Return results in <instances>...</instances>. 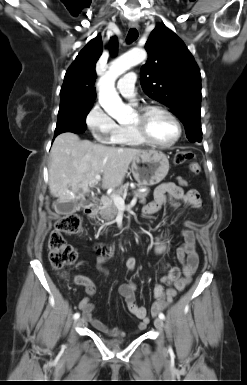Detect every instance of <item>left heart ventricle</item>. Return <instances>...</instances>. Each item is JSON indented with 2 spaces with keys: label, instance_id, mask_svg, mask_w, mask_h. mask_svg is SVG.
<instances>
[{
  "label": "left heart ventricle",
  "instance_id": "obj_1",
  "mask_svg": "<svg viewBox=\"0 0 247 385\" xmlns=\"http://www.w3.org/2000/svg\"><path fill=\"white\" fill-rule=\"evenodd\" d=\"M136 122L137 115L134 116L132 124ZM145 129L149 137L159 143H168L172 141L176 135V127L173 121L159 111H153L147 116Z\"/></svg>",
  "mask_w": 247,
  "mask_h": 385
}]
</instances>
